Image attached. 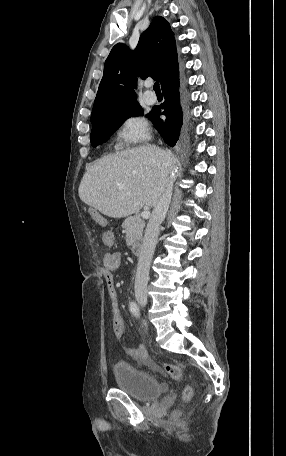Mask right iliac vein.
Returning a JSON list of instances; mask_svg holds the SVG:
<instances>
[{
  "label": "right iliac vein",
  "instance_id": "1",
  "mask_svg": "<svg viewBox=\"0 0 286 456\" xmlns=\"http://www.w3.org/2000/svg\"><path fill=\"white\" fill-rule=\"evenodd\" d=\"M136 300L143 307H145L147 305V299L144 296L139 295L136 297Z\"/></svg>",
  "mask_w": 286,
  "mask_h": 456
}]
</instances>
